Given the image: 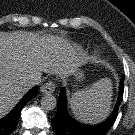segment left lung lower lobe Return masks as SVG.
Returning <instances> with one entry per match:
<instances>
[{"label":"left lung lower lobe","instance_id":"1","mask_svg":"<svg viewBox=\"0 0 135 135\" xmlns=\"http://www.w3.org/2000/svg\"><path fill=\"white\" fill-rule=\"evenodd\" d=\"M123 85L124 76H122L120 81L119 97L114 111L105 122L95 126L81 124L70 117L67 112L65 89L61 88L57 103V113L52 118V126L55 133L57 135H105L117 118L118 109L123 99Z\"/></svg>","mask_w":135,"mask_h":135}]
</instances>
